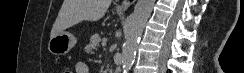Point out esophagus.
I'll list each match as a JSON object with an SVG mask.
<instances>
[{
	"mask_svg": "<svg viewBox=\"0 0 244 73\" xmlns=\"http://www.w3.org/2000/svg\"><path fill=\"white\" fill-rule=\"evenodd\" d=\"M136 0H124L121 4V9L126 10L130 7Z\"/></svg>",
	"mask_w": 244,
	"mask_h": 73,
	"instance_id": "1",
	"label": "esophagus"
}]
</instances>
